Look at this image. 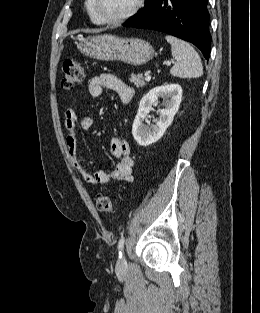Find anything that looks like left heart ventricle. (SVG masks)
<instances>
[{"instance_id": "1", "label": "left heart ventricle", "mask_w": 260, "mask_h": 313, "mask_svg": "<svg viewBox=\"0 0 260 313\" xmlns=\"http://www.w3.org/2000/svg\"><path fill=\"white\" fill-rule=\"evenodd\" d=\"M135 0H98V7L103 16L115 18L126 13Z\"/></svg>"}]
</instances>
